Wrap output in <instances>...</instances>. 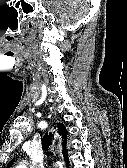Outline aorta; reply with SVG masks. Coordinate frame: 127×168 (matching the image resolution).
<instances>
[{"instance_id":"1","label":"aorta","mask_w":127,"mask_h":168,"mask_svg":"<svg viewBox=\"0 0 127 168\" xmlns=\"http://www.w3.org/2000/svg\"><path fill=\"white\" fill-rule=\"evenodd\" d=\"M17 168H26V166H25V165H20V166L17 167Z\"/></svg>"}]
</instances>
